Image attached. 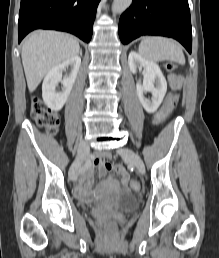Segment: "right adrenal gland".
Masks as SVG:
<instances>
[{
    "instance_id": "1",
    "label": "right adrenal gland",
    "mask_w": 219,
    "mask_h": 258,
    "mask_svg": "<svg viewBox=\"0 0 219 258\" xmlns=\"http://www.w3.org/2000/svg\"><path fill=\"white\" fill-rule=\"evenodd\" d=\"M79 54H80V56H82V50H80Z\"/></svg>"
}]
</instances>
